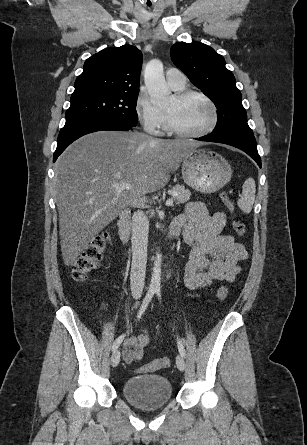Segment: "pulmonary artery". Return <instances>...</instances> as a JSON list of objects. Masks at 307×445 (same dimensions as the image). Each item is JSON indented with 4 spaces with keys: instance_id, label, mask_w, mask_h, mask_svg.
<instances>
[{
    "instance_id": "obj_1",
    "label": "pulmonary artery",
    "mask_w": 307,
    "mask_h": 445,
    "mask_svg": "<svg viewBox=\"0 0 307 445\" xmlns=\"http://www.w3.org/2000/svg\"><path fill=\"white\" fill-rule=\"evenodd\" d=\"M182 76V69H169L166 72L167 82L175 90H180L185 87L186 81Z\"/></svg>"
}]
</instances>
